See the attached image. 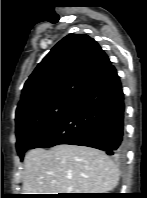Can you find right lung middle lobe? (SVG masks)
I'll return each mask as SVG.
<instances>
[{
  "instance_id": "right-lung-middle-lobe-1",
  "label": "right lung middle lobe",
  "mask_w": 147,
  "mask_h": 198,
  "mask_svg": "<svg viewBox=\"0 0 147 198\" xmlns=\"http://www.w3.org/2000/svg\"><path fill=\"white\" fill-rule=\"evenodd\" d=\"M75 100H57L40 105L16 119V149L24 153L49 132L71 109Z\"/></svg>"
}]
</instances>
